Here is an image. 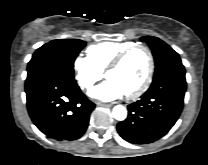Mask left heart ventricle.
I'll list each match as a JSON object with an SVG mask.
<instances>
[{"instance_id":"left-heart-ventricle-1","label":"left heart ventricle","mask_w":208,"mask_h":165,"mask_svg":"<svg viewBox=\"0 0 208 165\" xmlns=\"http://www.w3.org/2000/svg\"><path fill=\"white\" fill-rule=\"evenodd\" d=\"M148 70V56L142 49L130 53L123 63L107 74L124 94L136 89L144 80Z\"/></svg>"}]
</instances>
